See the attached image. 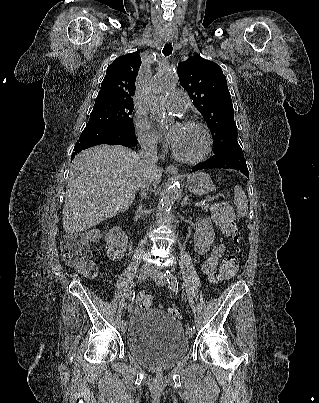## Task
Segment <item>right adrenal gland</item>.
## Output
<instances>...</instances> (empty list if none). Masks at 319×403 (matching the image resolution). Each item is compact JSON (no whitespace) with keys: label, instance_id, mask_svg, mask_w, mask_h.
<instances>
[{"label":"right adrenal gland","instance_id":"right-adrenal-gland-1","mask_svg":"<svg viewBox=\"0 0 319 403\" xmlns=\"http://www.w3.org/2000/svg\"><path fill=\"white\" fill-rule=\"evenodd\" d=\"M145 196H146V193H144V194L141 196V199H143Z\"/></svg>","mask_w":319,"mask_h":403}]
</instances>
